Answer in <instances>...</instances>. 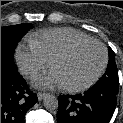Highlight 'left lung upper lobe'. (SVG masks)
I'll return each instance as SVG.
<instances>
[{
	"label": "left lung upper lobe",
	"mask_w": 123,
	"mask_h": 123,
	"mask_svg": "<svg viewBox=\"0 0 123 123\" xmlns=\"http://www.w3.org/2000/svg\"><path fill=\"white\" fill-rule=\"evenodd\" d=\"M109 64L105 74L102 78L95 84V86H109L113 88H118V73L115 64V53L109 47Z\"/></svg>",
	"instance_id": "5c2ea615"
}]
</instances>
